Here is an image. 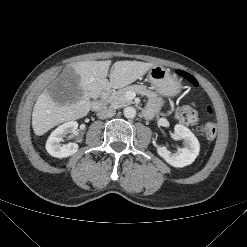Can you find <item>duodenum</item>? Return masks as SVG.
<instances>
[{
  "mask_svg": "<svg viewBox=\"0 0 247 247\" xmlns=\"http://www.w3.org/2000/svg\"><path fill=\"white\" fill-rule=\"evenodd\" d=\"M111 87L108 86L104 89L100 97L92 103V109L98 111L104 107V103L107 99L108 94L111 92Z\"/></svg>",
  "mask_w": 247,
  "mask_h": 247,
  "instance_id": "obj_1",
  "label": "duodenum"
}]
</instances>
